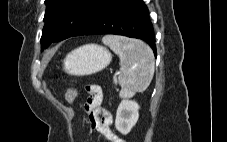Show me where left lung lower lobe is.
Instances as JSON below:
<instances>
[{"instance_id":"left-lung-lower-lobe-1","label":"left lung lower lobe","mask_w":227,"mask_h":142,"mask_svg":"<svg viewBox=\"0 0 227 142\" xmlns=\"http://www.w3.org/2000/svg\"><path fill=\"white\" fill-rule=\"evenodd\" d=\"M99 34L141 39L151 46L156 56L153 27L143 0H109L72 36Z\"/></svg>"}]
</instances>
